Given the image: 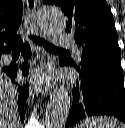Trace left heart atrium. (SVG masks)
<instances>
[{"label":"left heart atrium","instance_id":"1","mask_svg":"<svg viewBox=\"0 0 125 128\" xmlns=\"http://www.w3.org/2000/svg\"><path fill=\"white\" fill-rule=\"evenodd\" d=\"M52 80V75L48 70H41L35 77L34 81L39 85H47Z\"/></svg>","mask_w":125,"mask_h":128}]
</instances>
